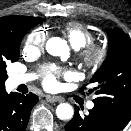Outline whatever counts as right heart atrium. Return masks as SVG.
<instances>
[{
	"mask_svg": "<svg viewBox=\"0 0 131 131\" xmlns=\"http://www.w3.org/2000/svg\"><path fill=\"white\" fill-rule=\"evenodd\" d=\"M47 33L43 29L31 31L24 40L23 51L26 55L39 53L45 46Z\"/></svg>",
	"mask_w": 131,
	"mask_h": 131,
	"instance_id": "right-heart-atrium-1",
	"label": "right heart atrium"
}]
</instances>
